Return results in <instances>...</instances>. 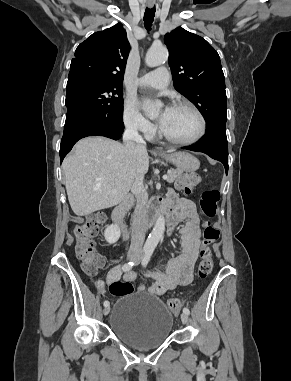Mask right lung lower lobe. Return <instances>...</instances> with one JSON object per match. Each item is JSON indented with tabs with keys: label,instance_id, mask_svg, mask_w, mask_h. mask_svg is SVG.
<instances>
[{
	"label": "right lung lower lobe",
	"instance_id": "obj_1",
	"mask_svg": "<svg viewBox=\"0 0 291 381\" xmlns=\"http://www.w3.org/2000/svg\"><path fill=\"white\" fill-rule=\"evenodd\" d=\"M124 124L122 118L109 117L92 121L81 110L67 112L64 133L60 145L61 162L73 145L87 136H105L114 140L122 136Z\"/></svg>",
	"mask_w": 291,
	"mask_h": 381
}]
</instances>
